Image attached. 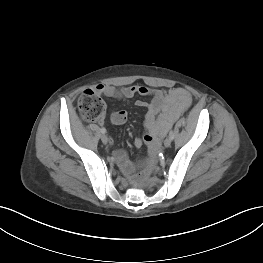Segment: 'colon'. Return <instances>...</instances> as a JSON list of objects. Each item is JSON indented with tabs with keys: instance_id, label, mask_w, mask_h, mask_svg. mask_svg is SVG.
Wrapping results in <instances>:
<instances>
[{
	"instance_id": "5ec220e1",
	"label": "colon",
	"mask_w": 263,
	"mask_h": 263,
	"mask_svg": "<svg viewBox=\"0 0 263 263\" xmlns=\"http://www.w3.org/2000/svg\"><path fill=\"white\" fill-rule=\"evenodd\" d=\"M78 108L85 120L96 121L103 116L105 103L95 90L87 89L78 99Z\"/></svg>"
}]
</instances>
